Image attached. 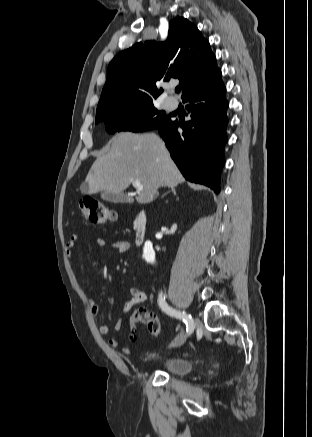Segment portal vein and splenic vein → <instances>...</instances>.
Instances as JSON below:
<instances>
[{
  "label": "portal vein and splenic vein",
  "mask_w": 312,
  "mask_h": 437,
  "mask_svg": "<svg viewBox=\"0 0 312 437\" xmlns=\"http://www.w3.org/2000/svg\"><path fill=\"white\" fill-rule=\"evenodd\" d=\"M132 184L139 191H141L143 189V185L138 180L133 181Z\"/></svg>",
  "instance_id": "obj_1"
}]
</instances>
